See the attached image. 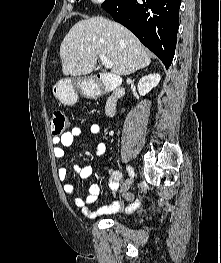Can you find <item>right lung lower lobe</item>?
<instances>
[{
	"label": "right lung lower lobe",
	"instance_id": "1",
	"mask_svg": "<svg viewBox=\"0 0 221 263\" xmlns=\"http://www.w3.org/2000/svg\"><path fill=\"white\" fill-rule=\"evenodd\" d=\"M180 0H106L101 6L168 69L175 54Z\"/></svg>",
	"mask_w": 221,
	"mask_h": 263
}]
</instances>
